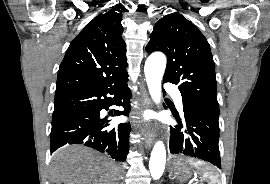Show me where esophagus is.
I'll return each instance as SVG.
<instances>
[{
	"instance_id": "1",
	"label": "esophagus",
	"mask_w": 270,
	"mask_h": 184,
	"mask_svg": "<svg viewBox=\"0 0 270 184\" xmlns=\"http://www.w3.org/2000/svg\"><path fill=\"white\" fill-rule=\"evenodd\" d=\"M152 103L150 100V97L146 91V89H143L142 91V98H141V108L142 109H148L151 108ZM154 128L152 126V123H147L144 128L142 129V134L145 139V147L146 149H150L153 142H154Z\"/></svg>"
}]
</instances>
